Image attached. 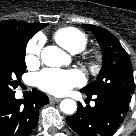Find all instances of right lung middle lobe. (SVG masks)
Here are the masks:
<instances>
[{
	"instance_id": "obj_1",
	"label": "right lung middle lobe",
	"mask_w": 136,
	"mask_h": 136,
	"mask_svg": "<svg viewBox=\"0 0 136 136\" xmlns=\"http://www.w3.org/2000/svg\"><path fill=\"white\" fill-rule=\"evenodd\" d=\"M31 37L17 31L0 36V95L15 93L20 85L19 79L26 69L25 48Z\"/></svg>"
}]
</instances>
